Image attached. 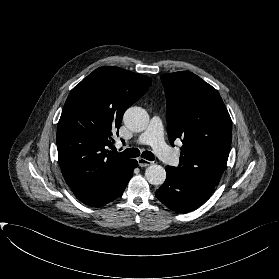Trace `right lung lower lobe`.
Listing matches in <instances>:
<instances>
[{"instance_id":"right-lung-lower-lobe-1","label":"right lung lower lobe","mask_w":279,"mask_h":279,"mask_svg":"<svg viewBox=\"0 0 279 279\" xmlns=\"http://www.w3.org/2000/svg\"><path fill=\"white\" fill-rule=\"evenodd\" d=\"M137 166L138 162L132 159L128 171L124 173V175L112 187L102 192L97 197L83 203L91 207H99L120 197L132 177L134 168H136Z\"/></svg>"}]
</instances>
